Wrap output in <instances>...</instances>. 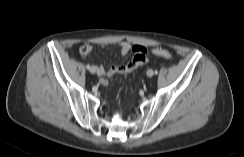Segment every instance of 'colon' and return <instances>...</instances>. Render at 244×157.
Listing matches in <instances>:
<instances>
[{
  "instance_id": "5ec220e1",
  "label": "colon",
  "mask_w": 244,
  "mask_h": 157,
  "mask_svg": "<svg viewBox=\"0 0 244 157\" xmlns=\"http://www.w3.org/2000/svg\"><path fill=\"white\" fill-rule=\"evenodd\" d=\"M153 53L157 56H161L163 58H172V54L170 51L163 49V48H156L153 50ZM134 59L139 62L144 64L147 61V56H146V51L145 50H140L134 55ZM137 89L136 86H133L132 91H135Z\"/></svg>"
}]
</instances>
